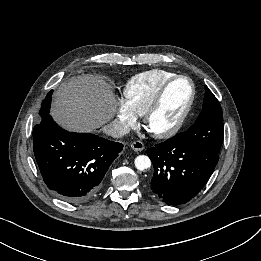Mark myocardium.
<instances>
[{
    "mask_svg": "<svg viewBox=\"0 0 261 261\" xmlns=\"http://www.w3.org/2000/svg\"><path fill=\"white\" fill-rule=\"evenodd\" d=\"M180 79L188 80L191 85V96H190L189 102H188L184 112L182 113L179 120L172 127L168 128L166 130H163V131L152 130L149 125L151 118L159 110V108L163 102V99H164L167 91L169 90V88L176 81H178ZM195 97H196V88H195V84H194L193 80L191 79V77H189L188 75H176V76L172 77L159 89V91L155 95L154 99L152 100V102L150 103V105L148 106L146 111L144 112L143 126H144L145 130L155 138L164 139V138L172 137L173 135H175L176 133H178L180 131V129L183 127L184 123L186 122V120L193 108Z\"/></svg>",
    "mask_w": 261,
    "mask_h": 261,
    "instance_id": "obj_1",
    "label": "myocardium"
}]
</instances>
